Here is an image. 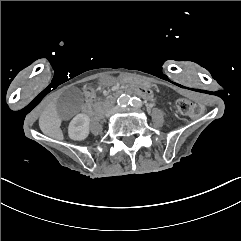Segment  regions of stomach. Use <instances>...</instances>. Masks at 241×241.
Returning <instances> with one entry per match:
<instances>
[{
  "instance_id": "stomach-1",
  "label": "stomach",
  "mask_w": 241,
  "mask_h": 241,
  "mask_svg": "<svg viewBox=\"0 0 241 241\" xmlns=\"http://www.w3.org/2000/svg\"><path fill=\"white\" fill-rule=\"evenodd\" d=\"M124 81H126V82H131V83H135V84H138V85H149V83L148 82H146V81H142V80H128V79H126V80H124Z\"/></svg>"
}]
</instances>
